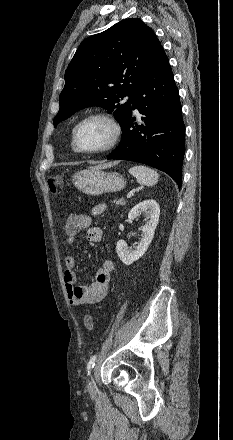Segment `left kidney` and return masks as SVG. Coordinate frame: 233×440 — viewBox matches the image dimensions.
I'll use <instances>...</instances> for the list:
<instances>
[{"instance_id": "5707ae66", "label": "left kidney", "mask_w": 233, "mask_h": 440, "mask_svg": "<svg viewBox=\"0 0 233 440\" xmlns=\"http://www.w3.org/2000/svg\"><path fill=\"white\" fill-rule=\"evenodd\" d=\"M141 214H144L149 220L141 228L142 235L138 245L131 249L124 240H119L116 245L117 254L125 265H130L137 261L147 251L159 222V204L154 199L142 201L131 209L128 218L129 220H134Z\"/></svg>"}]
</instances>
